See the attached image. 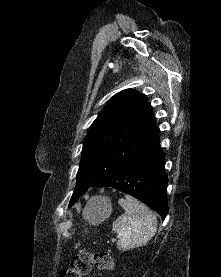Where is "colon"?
Listing matches in <instances>:
<instances>
[{
	"label": "colon",
	"instance_id": "1",
	"mask_svg": "<svg viewBox=\"0 0 221 277\" xmlns=\"http://www.w3.org/2000/svg\"><path fill=\"white\" fill-rule=\"evenodd\" d=\"M93 268L112 270L114 261L106 252H83L73 257L70 266L60 272V277H82Z\"/></svg>",
	"mask_w": 221,
	"mask_h": 277
}]
</instances>
